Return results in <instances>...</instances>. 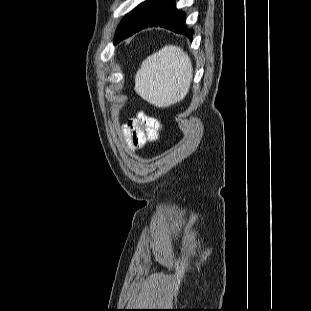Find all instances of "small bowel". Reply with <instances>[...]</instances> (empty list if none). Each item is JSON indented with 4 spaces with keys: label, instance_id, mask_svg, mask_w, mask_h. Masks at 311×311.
Returning a JSON list of instances; mask_svg holds the SVG:
<instances>
[{
    "label": "small bowel",
    "instance_id": "c3829d8e",
    "mask_svg": "<svg viewBox=\"0 0 311 311\" xmlns=\"http://www.w3.org/2000/svg\"><path fill=\"white\" fill-rule=\"evenodd\" d=\"M158 121L145 114H140L138 118L129 120L123 127V136L127 146L132 149H140L148 142L158 140Z\"/></svg>",
    "mask_w": 311,
    "mask_h": 311
}]
</instances>
